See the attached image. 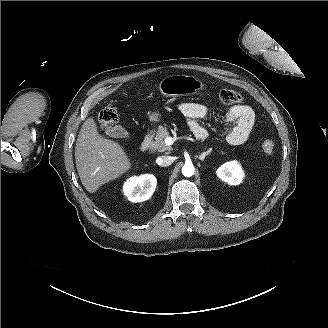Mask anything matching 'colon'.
Returning <instances> with one entry per match:
<instances>
[{"label": "colon", "instance_id": "colon-1", "mask_svg": "<svg viewBox=\"0 0 328 328\" xmlns=\"http://www.w3.org/2000/svg\"><path fill=\"white\" fill-rule=\"evenodd\" d=\"M219 100L225 105H231L241 102L242 96L235 90L222 89L219 92ZM118 120L117 109L113 105H107L99 114V123L104 129L111 128ZM274 150V142L271 139H265L262 142V151L265 155H271Z\"/></svg>", "mask_w": 328, "mask_h": 328}]
</instances>
